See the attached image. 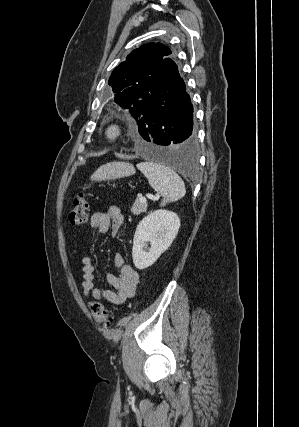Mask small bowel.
Segmentation results:
<instances>
[{"label":"small bowel","mask_w":299,"mask_h":427,"mask_svg":"<svg viewBox=\"0 0 299 427\" xmlns=\"http://www.w3.org/2000/svg\"><path fill=\"white\" fill-rule=\"evenodd\" d=\"M123 223L124 216L116 206H110L105 212H95L90 218V226L92 228L99 230L101 233H106L110 230L113 236L118 235ZM115 263L119 269V274L110 273L107 275V282L113 287V290H110L95 287L92 259L89 256H84L81 259L83 297H92L97 301L120 305L134 296L139 283L138 272L132 266L126 264L120 255L115 256Z\"/></svg>","instance_id":"small-bowel-1"}]
</instances>
